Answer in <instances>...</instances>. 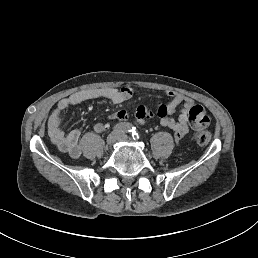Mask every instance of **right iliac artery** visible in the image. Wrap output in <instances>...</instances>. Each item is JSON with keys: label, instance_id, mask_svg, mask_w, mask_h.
Here are the masks:
<instances>
[{"label": "right iliac artery", "instance_id": "1", "mask_svg": "<svg viewBox=\"0 0 258 258\" xmlns=\"http://www.w3.org/2000/svg\"><path fill=\"white\" fill-rule=\"evenodd\" d=\"M113 129L117 132H131L133 126L130 123H118L114 125Z\"/></svg>", "mask_w": 258, "mask_h": 258}]
</instances>
